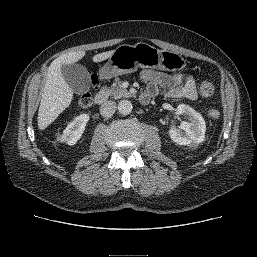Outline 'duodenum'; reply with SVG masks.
<instances>
[{
	"label": "duodenum",
	"instance_id": "obj_1",
	"mask_svg": "<svg viewBox=\"0 0 257 257\" xmlns=\"http://www.w3.org/2000/svg\"><path fill=\"white\" fill-rule=\"evenodd\" d=\"M107 92L106 91H100L95 95V102L98 105H102L106 102L107 99ZM146 101V100H145Z\"/></svg>",
	"mask_w": 257,
	"mask_h": 257
}]
</instances>
